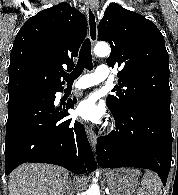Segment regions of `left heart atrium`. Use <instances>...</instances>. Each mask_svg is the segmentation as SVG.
<instances>
[{
    "label": "left heart atrium",
    "instance_id": "1",
    "mask_svg": "<svg viewBox=\"0 0 178 195\" xmlns=\"http://www.w3.org/2000/svg\"><path fill=\"white\" fill-rule=\"evenodd\" d=\"M76 115L83 121L90 123H100L104 117L102 105L93 96H87L78 102Z\"/></svg>",
    "mask_w": 178,
    "mask_h": 195
}]
</instances>
